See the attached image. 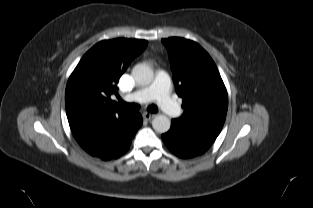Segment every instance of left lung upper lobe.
Returning a JSON list of instances; mask_svg holds the SVG:
<instances>
[{"mask_svg": "<svg viewBox=\"0 0 313 208\" xmlns=\"http://www.w3.org/2000/svg\"><path fill=\"white\" fill-rule=\"evenodd\" d=\"M162 42L168 50L176 92L183 98L184 113L173 120L190 132L218 136L228 95L214 61L191 40L171 37Z\"/></svg>", "mask_w": 313, "mask_h": 208, "instance_id": "1", "label": "left lung upper lobe"}]
</instances>
